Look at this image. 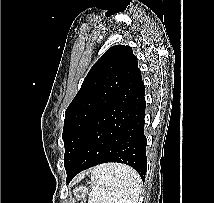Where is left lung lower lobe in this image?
Instances as JSON below:
<instances>
[{
	"mask_svg": "<svg viewBox=\"0 0 214 203\" xmlns=\"http://www.w3.org/2000/svg\"><path fill=\"white\" fill-rule=\"evenodd\" d=\"M145 87L138 68L89 127L73 161L67 183L79 172L107 162L133 167L144 181L147 170Z\"/></svg>",
	"mask_w": 214,
	"mask_h": 203,
	"instance_id": "left-lung-lower-lobe-1",
	"label": "left lung lower lobe"
}]
</instances>
